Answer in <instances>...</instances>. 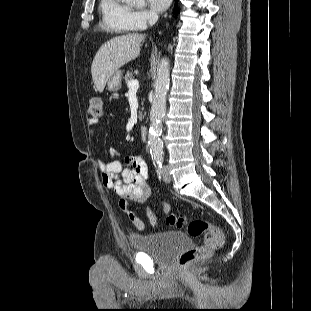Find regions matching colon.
<instances>
[{
  "instance_id": "5ec220e1",
  "label": "colon",
  "mask_w": 311,
  "mask_h": 311,
  "mask_svg": "<svg viewBox=\"0 0 311 311\" xmlns=\"http://www.w3.org/2000/svg\"><path fill=\"white\" fill-rule=\"evenodd\" d=\"M86 114L89 120H101L104 115L102 100L97 97L91 98ZM166 222L168 225L179 229L185 227L188 234L193 238L204 236V245L193 247L181 255L179 263L182 267L210 257L212 253L221 249L225 243L222 230L204 219L197 218L189 221L184 216L168 214Z\"/></svg>"
}]
</instances>
